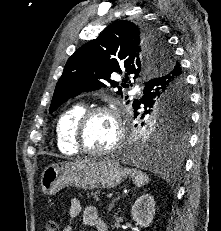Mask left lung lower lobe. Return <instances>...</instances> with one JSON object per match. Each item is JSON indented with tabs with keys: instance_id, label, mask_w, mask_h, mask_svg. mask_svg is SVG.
<instances>
[{
	"instance_id": "obj_1",
	"label": "left lung lower lobe",
	"mask_w": 221,
	"mask_h": 231,
	"mask_svg": "<svg viewBox=\"0 0 221 231\" xmlns=\"http://www.w3.org/2000/svg\"><path fill=\"white\" fill-rule=\"evenodd\" d=\"M178 87L187 91L184 74L181 70V67L178 68L176 65L171 71L151 77L145 84L141 100H137V103L139 105L142 104L145 100H151L156 96L167 93L171 94L173 92L172 90H175ZM172 104L184 105V101L181 98H176ZM186 138L187 137H179L175 140H170L169 138L165 137L158 138L156 135H154L150 138V140L144 143L145 147L135 151L134 158L137 161H157L160 160L159 158L163 156L164 150L166 149H169L171 153L175 154L177 157L178 154H181L186 145ZM175 156L174 160L178 161Z\"/></svg>"
}]
</instances>
